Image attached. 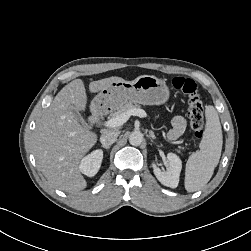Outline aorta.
Segmentation results:
<instances>
[{
    "label": "aorta",
    "mask_w": 251,
    "mask_h": 251,
    "mask_svg": "<svg viewBox=\"0 0 251 251\" xmlns=\"http://www.w3.org/2000/svg\"><path fill=\"white\" fill-rule=\"evenodd\" d=\"M143 139V134L140 131H134L129 136V143L133 146H140Z\"/></svg>",
    "instance_id": "762f6f07"
}]
</instances>
